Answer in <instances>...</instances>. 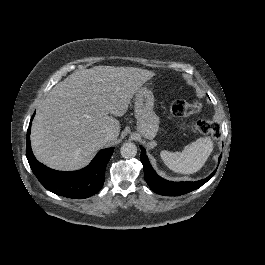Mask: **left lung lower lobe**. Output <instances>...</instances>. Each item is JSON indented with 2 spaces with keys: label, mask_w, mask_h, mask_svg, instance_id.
Segmentation results:
<instances>
[{
  "label": "left lung lower lobe",
  "mask_w": 265,
  "mask_h": 265,
  "mask_svg": "<svg viewBox=\"0 0 265 265\" xmlns=\"http://www.w3.org/2000/svg\"><path fill=\"white\" fill-rule=\"evenodd\" d=\"M221 156L219 157V161ZM141 162L144 168V177L150 188L161 195L179 196L193 191L205 184L216 172V170L207 178L196 182H172L159 177L151 167L144 148L141 147Z\"/></svg>",
  "instance_id": "1"
}]
</instances>
